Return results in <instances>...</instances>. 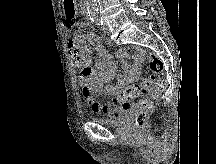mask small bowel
<instances>
[{
	"label": "small bowel",
	"mask_w": 216,
	"mask_h": 164,
	"mask_svg": "<svg viewBox=\"0 0 216 164\" xmlns=\"http://www.w3.org/2000/svg\"><path fill=\"white\" fill-rule=\"evenodd\" d=\"M82 25L81 22L77 23L79 27ZM88 41L90 45L86 43L84 35L78 32L74 34L72 41L68 45L73 64L80 71L79 81L82 86V95L94 112L115 117L120 109L126 110L129 108L127 102L119 101L118 95L123 86L135 81L140 76V60L143 52L138 48L121 51V57L126 56L128 51H131L133 62L126 64L124 74L118 75L116 83L112 84L110 81L116 75V65L112 56L103 47L97 36L88 35ZM91 46L95 48L98 58L94 65ZM99 95L112 96V100L100 103L96 99V96Z\"/></svg>",
	"instance_id": "c3829d8e"
}]
</instances>
